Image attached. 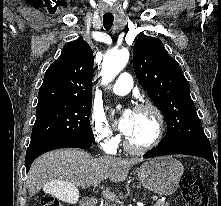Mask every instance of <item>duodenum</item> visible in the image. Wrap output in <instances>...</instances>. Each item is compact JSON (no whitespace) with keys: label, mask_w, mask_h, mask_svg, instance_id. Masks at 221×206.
Returning a JSON list of instances; mask_svg holds the SVG:
<instances>
[{"label":"duodenum","mask_w":221,"mask_h":206,"mask_svg":"<svg viewBox=\"0 0 221 206\" xmlns=\"http://www.w3.org/2000/svg\"><path fill=\"white\" fill-rule=\"evenodd\" d=\"M83 206H101V203L98 197L89 196L85 198V203Z\"/></svg>","instance_id":"obj_1"}]
</instances>
